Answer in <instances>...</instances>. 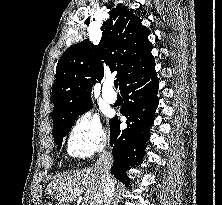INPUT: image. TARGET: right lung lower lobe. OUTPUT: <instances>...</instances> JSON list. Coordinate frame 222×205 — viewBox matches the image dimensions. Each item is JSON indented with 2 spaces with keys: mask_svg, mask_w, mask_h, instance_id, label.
Here are the masks:
<instances>
[{
  "mask_svg": "<svg viewBox=\"0 0 222 205\" xmlns=\"http://www.w3.org/2000/svg\"><path fill=\"white\" fill-rule=\"evenodd\" d=\"M159 82L155 66L128 80L120 89L124 105L120 112L127 118V128L120 130L117 116L110 120V146L114 157L112 174L122 183H130L126 171L141 163L149 128L158 107Z\"/></svg>",
  "mask_w": 222,
  "mask_h": 205,
  "instance_id": "obj_1",
  "label": "right lung lower lobe"
}]
</instances>
